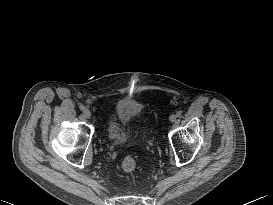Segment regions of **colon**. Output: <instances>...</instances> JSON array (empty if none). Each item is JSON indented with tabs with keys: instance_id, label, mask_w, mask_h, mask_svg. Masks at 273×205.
<instances>
[{
	"instance_id": "5ec220e1",
	"label": "colon",
	"mask_w": 273,
	"mask_h": 205,
	"mask_svg": "<svg viewBox=\"0 0 273 205\" xmlns=\"http://www.w3.org/2000/svg\"><path fill=\"white\" fill-rule=\"evenodd\" d=\"M136 167V162L133 157L126 156L122 162V170L126 173L132 172Z\"/></svg>"
}]
</instances>
